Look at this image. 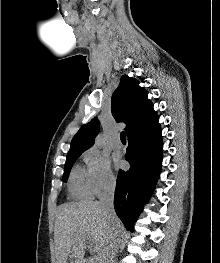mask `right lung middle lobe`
I'll return each mask as SVG.
<instances>
[{"instance_id":"dd1d6c3e","label":"right lung middle lobe","mask_w":220,"mask_h":263,"mask_svg":"<svg viewBox=\"0 0 220 263\" xmlns=\"http://www.w3.org/2000/svg\"><path fill=\"white\" fill-rule=\"evenodd\" d=\"M82 153H77V154H70L67 155V159H66V163L64 166V175H63V179L64 181L67 180L69 174H70V170L75 162V160L81 155Z\"/></svg>"}]
</instances>
